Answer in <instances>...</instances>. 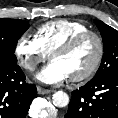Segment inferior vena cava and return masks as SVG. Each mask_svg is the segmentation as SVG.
Here are the masks:
<instances>
[{
  "label": "inferior vena cava",
  "instance_id": "1",
  "mask_svg": "<svg viewBox=\"0 0 118 118\" xmlns=\"http://www.w3.org/2000/svg\"><path fill=\"white\" fill-rule=\"evenodd\" d=\"M28 68H29L30 70H33V69L35 68V66H34L33 64H29Z\"/></svg>",
  "mask_w": 118,
  "mask_h": 118
}]
</instances>
